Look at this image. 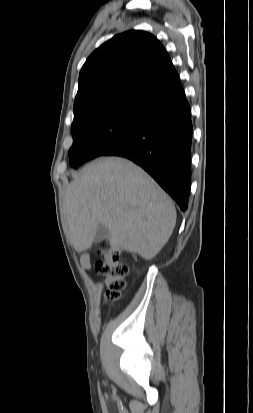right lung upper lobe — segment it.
Instances as JSON below:
<instances>
[{
    "mask_svg": "<svg viewBox=\"0 0 253 413\" xmlns=\"http://www.w3.org/2000/svg\"><path fill=\"white\" fill-rule=\"evenodd\" d=\"M185 98L163 45L147 32L131 30L108 40L86 60L79 75L74 119L111 107L151 113Z\"/></svg>",
    "mask_w": 253,
    "mask_h": 413,
    "instance_id": "right-lung-upper-lobe-1",
    "label": "right lung upper lobe"
}]
</instances>
